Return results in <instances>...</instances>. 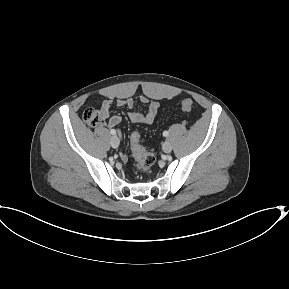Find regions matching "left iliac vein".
<instances>
[{"label": "left iliac vein", "mask_w": 289, "mask_h": 289, "mask_svg": "<svg viewBox=\"0 0 289 289\" xmlns=\"http://www.w3.org/2000/svg\"><path fill=\"white\" fill-rule=\"evenodd\" d=\"M162 148L165 153H170L172 151V145L169 141H165Z\"/></svg>", "instance_id": "left-iliac-vein-1"}]
</instances>
